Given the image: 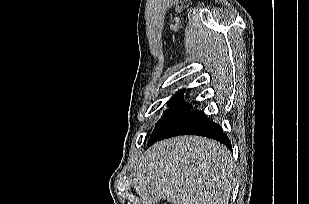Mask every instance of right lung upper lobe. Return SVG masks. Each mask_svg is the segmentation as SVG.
Instances as JSON below:
<instances>
[{"mask_svg":"<svg viewBox=\"0 0 309 204\" xmlns=\"http://www.w3.org/2000/svg\"><path fill=\"white\" fill-rule=\"evenodd\" d=\"M183 93L184 90H180L178 91L169 101V103H173V104H187L186 102H184L183 100Z\"/></svg>","mask_w":309,"mask_h":204,"instance_id":"1","label":"right lung upper lobe"}]
</instances>
